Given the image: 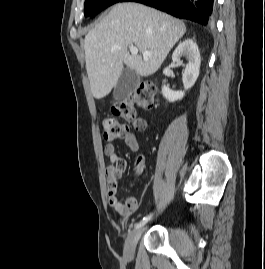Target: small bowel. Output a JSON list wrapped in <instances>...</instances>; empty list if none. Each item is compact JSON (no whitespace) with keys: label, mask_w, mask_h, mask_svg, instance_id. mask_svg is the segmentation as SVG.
I'll return each instance as SVG.
<instances>
[{"label":"small bowel","mask_w":265,"mask_h":269,"mask_svg":"<svg viewBox=\"0 0 265 269\" xmlns=\"http://www.w3.org/2000/svg\"><path fill=\"white\" fill-rule=\"evenodd\" d=\"M146 123L143 120H138V125L135 126V131L124 136L123 140L131 151L137 152L139 144L136 133L144 131ZM105 155L110 159V164L106 167V181L108 184V201L109 205L120 215L127 216L134 212L138 207V201L134 196H128L124 203L117 197L118 183L123 177L127 164L125 159L118 156L116 147L113 143H107L104 147ZM143 170L142 157L136 163V171L140 173Z\"/></svg>","instance_id":"small-bowel-1"}]
</instances>
